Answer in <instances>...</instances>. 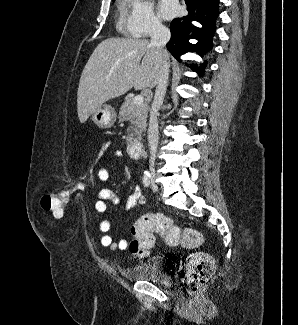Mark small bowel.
Segmentation results:
<instances>
[{
  "label": "small bowel",
  "mask_w": 298,
  "mask_h": 325,
  "mask_svg": "<svg viewBox=\"0 0 298 325\" xmlns=\"http://www.w3.org/2000/svg\"><path fill=\"white\" fill-rule=\"evenodd\" d=\"M113 154L116 158H122L124 153L121 149H116L113 151ZM108 169L102 167L98 171V178L101 181H107L109 179ZM111 201L114 204H119L122 200L120 197L115 195L110 189L104 188L99 191L98 200L95 203V210L98 213H105L107 210L106 201ZM125 208L131 210L136 205H141L144 203V196L139 187L135 186L132 192L124 197ZM99 230L101 232L100 243L103 247L110 249H120L125 250L128 247V241L125 239H120L115 242L113 237L110 235V222L108 220H102L99 224Z\"/></svg>",
  "instance_id": "small-bowel-1"
}]
</instances>
